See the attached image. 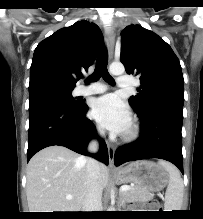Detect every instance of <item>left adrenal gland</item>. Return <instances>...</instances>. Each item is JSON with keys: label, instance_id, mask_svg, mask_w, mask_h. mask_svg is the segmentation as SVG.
Here are the masks:
<instances>
[{"label": "left adrenal gland", "instance_id": "obj_1", "mask_svg": "<svg viewBox=\"0 0 203 219\" xmlns=\"http://www.w3.org/2000/svg\"><path fill=\"white\" fill-rule=\"evenodd\" d=\"M120 195V206H124V199H123V196H122V193L119 194Z\"/></svg>", "mask_w": 203, "mask_h": 219}]
</instances>
